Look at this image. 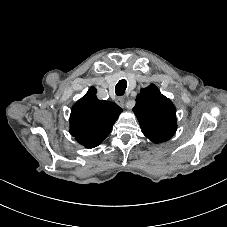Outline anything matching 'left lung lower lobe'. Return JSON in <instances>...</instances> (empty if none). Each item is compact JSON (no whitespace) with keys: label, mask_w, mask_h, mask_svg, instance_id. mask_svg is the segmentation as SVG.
<instances>
[{"label":"left lung lower lobe","mask_w":227,"mask_h":227,"mask_svg":"<svg viewBox=\"0 0 227 227\" xmlns=\"http://www.w3.org/2000/svg\"><path fill=\"white\" fill-rule=\"evenodd\" d=\"M150 140H151V139H150ZM151 141L155 142L154 140H151ZM155 143H157V142H155Z\"/></svg>","instance_id":"obj_1"}]
</instances>
